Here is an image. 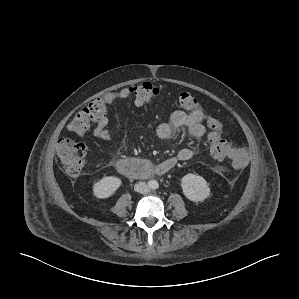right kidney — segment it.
Wrapping results in <instances>:
<instances>
[{
	"label": "right kidney",
	"mask_w": 299,
	"mask_h": 299,
	"mask_svg": "<svg viewBox=\"0 0 299 299\" xmlns=\"http://www.w3.org/2000/svg\"><path fill=\"white\" fill-rule=\"evenodd\" d=\"M121 183L118 177H104L93 185V194L99 199L108 198L121 186Z\"/></svg>",
	"instance_id": "right-kidney-1"
}]
</instances>
